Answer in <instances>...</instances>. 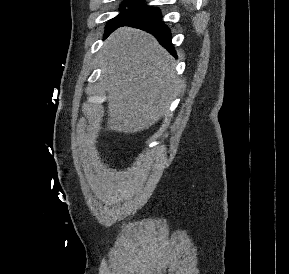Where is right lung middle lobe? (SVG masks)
<instances>
[{
  "mask_svg": "<svg viewBox=\"0 0 289 274\" xmlns=\"http://www.w3.org/2000/svg\"><path fill=\"white\" fill-rule=\"evenodd\" d=\"M127 7V9H126ZM152 8L141 2L140 0H126L123 3V8L121 12L115 18L110 20L106 26L105 36L109 35L112 31L117 29L123 23L129 21L130 19L144 13L145 11Z\"/></svg>",
  "mask_w": 289,
  "mask_h": 274,
  "instance_id": "right-lung-middle-lobe-1",
  "label": "right lung middle lobe"
}]
</instances>
